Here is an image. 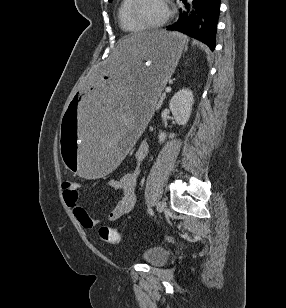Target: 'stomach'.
Returning a JSON list of instances; mask_svg holds the SVG:
<instances>
[{"label":"stomach","instance_id":"obj_1","mask_svg":"<svg viewBox=\"0 0 286 308\" xmlns=\"http://www.w3.org/2000/svg\"><path fill=\"white\" fill-rule=\"evenodd\" d=\"M186 38L157 31L124 36L105 60L91 69L82 91L62 112L63 164L75 177H112L128 158L137 132L151 119V107L173 74Z\"/></svg>","mask_w":286,"mask_h":308}]
</instances>
